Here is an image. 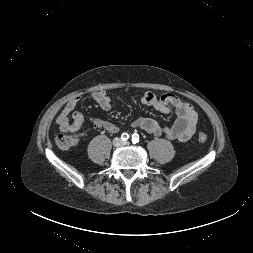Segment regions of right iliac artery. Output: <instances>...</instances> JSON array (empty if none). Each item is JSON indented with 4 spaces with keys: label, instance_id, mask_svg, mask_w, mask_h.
Instances as JSON below:
<instances>
[{
    "label": "right iliac artery",
    "instance_id": "right-iliac-artery-1",
    "mask_svg": "<svg viewBox=\"0 0 253 253\" xmlns=\"http://www.w3.org/2000/svg\"><path fill=\"white\" fill-rule=\"evenodd\" d=\"M121 139H122L123 141H127V140L129 139V134H128V133H123V134L121 135Z\"/></svg>",
    "mask_w": 253,
    "mask_h": 253
}]
</instances>
